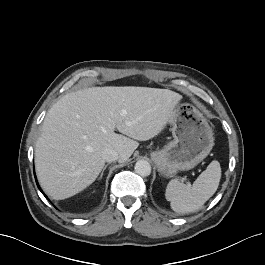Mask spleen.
I'll return each mask as SVG.
<instances>
[{"label":"spleen","mask_w":265,"mask_h":265,"mask_svg":"<svg viewBox=\"0 0 265 265\" xmlns=\"http://www.w3.org/2000/svg\"><path fill=\"white\" fill-rule=\"evenodd\" d=\"M221 178L220 163L212 161L192 185L172 179L166 188L165 197L175 212L198 211L216 192Z\"/></svg>","instance_id":"obj_1"}]
</instances>
